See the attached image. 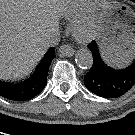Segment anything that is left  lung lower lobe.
Instances as JSON below:
<instances>
[{"mask_svg":"<svg viewBox=\"0 0 135 135\" xmlns=\"http://www.w3.org/2000/svg\"><path fill=\"white\" fill-rule=\"evenodd\" d=\"M88 48L92 52L93 65L84 76V84L91 92L104 98H117L132 88L135 84V62L124 70H115L101 59L96 41L89 43Z\"/></svg>","mask_w":135,"mask_h":135,"instance_id":"obj_1","label":"left lung lower lobe"}]
</instances>
